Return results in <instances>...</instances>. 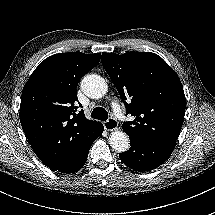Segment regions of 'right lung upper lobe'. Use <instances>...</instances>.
Wrapping results in <instances>:
<instances>
[{
  "label": "right lung upper lobe",
  "mask_w": 215,
  "mask_h": 215,
  "mask_svg": "<svg viewBox=\"0 0 215 215\" xmlns=\"http://www.w3.org/2000/svg\"><path fill=\"white\" fill-rule=\"evenodd\" d=\"M99 61V53L55 54L42 61L25 84L20 122L32 149L44 164H62L76 156L73 152L78 140L97 124L86 119L83 110L77 112L76 87L80 78Z\"/></svg>",
  "instance_id": "right-lung-upper-lobe-1"
}]
</instances>
